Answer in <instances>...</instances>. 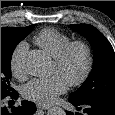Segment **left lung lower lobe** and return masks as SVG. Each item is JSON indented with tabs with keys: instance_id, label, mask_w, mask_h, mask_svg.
Returning <instances> with one entry per match:
<instances>
[{
	"instance_id": "left-lung-lower-lobe-1",
	"label": "left lung lower lobe",
	"mask_w": 115,
	"mask_h": 115,
	"mask_svg": "<svg viewBox=\"0 0 115 115\" xmlns=\"http://www.w3.org/2000/svg\"><path fill=\"white\" fill-rule=\"evenodd\" d=\"M68 101L73 104L76 109L83 110L85 115H115V103L108 101H93L83 104L77 103L68 98ZM67 115H74L72 112H67ZM75 115H83L76 112Z\"/></svg>"
}]
</instances>
